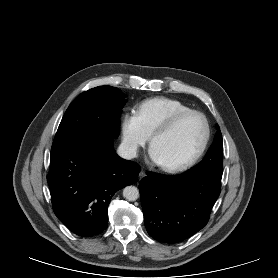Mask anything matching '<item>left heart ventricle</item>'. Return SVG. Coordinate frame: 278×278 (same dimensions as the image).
<instances>
[{
  "label": "left heart ventricle",
  "instance_id": "1",
  "mask_svg": "<svg viewBox=\"0 0 278 278\" xmlns=\"http://www.w3.org/2000/svg\"><path fill=\"white\" fill-rule=\"evenodd\" d=\"M203 120L196 115L183 118L170 132L159 136L153 143L159 161L173 165L190 158L200 147L204 137Z\"/></svg>",
  "mask_w": 278,
  "mask_h": 278
}]
</instances>
